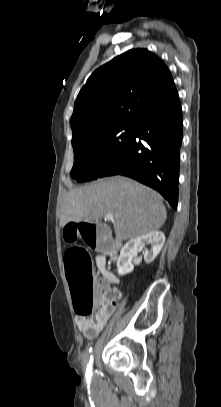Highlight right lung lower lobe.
<instances>
[{
	"instance_id": "obj_1",
	"label": "right lung lower lobe",
	"mask_w": 221,
	"mask_h": 407,
	"mask_svg": "<svg viewBox=\"0 0 221 407\" xmlns=\"http://www.w3.org/2000/svg\"><path fill=\"white\" fill-rule=\"evenodd\" d=\"M134 125L130 143L100 177L116 174L131 177L157 190L177 209L183 130L177 90Z\"/></svg>"
}]
</instances>
